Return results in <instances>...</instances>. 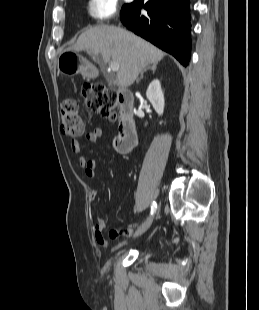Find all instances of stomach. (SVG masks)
Segmentation results:
<instances>
[{
    "label": "stomach",
    "mask_w": 259,
    "mask_h": 310,
    "mask_svg": "<svg viewBox=\"0 0 259 310\" xmlns=\"http://www.w3.org/2000/svg\"><path fill=\"white\" fill-rule=\"evenodd\" d=\"M58 71L66 75H75L81 73L84 76L90 77L94 68L78 51L72 49H65L59 55L57 60Z\"/></svg>",
    "instance_id": "stomach-1"
}]
</instances>
